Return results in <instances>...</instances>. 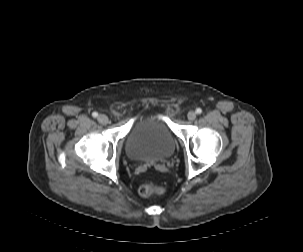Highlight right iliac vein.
Instances as JSON below:
<instances>
[{
	"label": "right iliac vein",
	"instance_id": "obj_1",
	"mask_svg": "<svg viewBox=\"0 0 303 252\" xmlns=\"http://www.w3.org/2000/svg\"><path fill=\"white\" fill-rule=\"evenodd\" d=\"M99 123L105 125L109 122V118L105 114H101L98 116Z\"/></svg>",
	"mask_w": 303,
	"mask_h": 252
}]
</instances>
